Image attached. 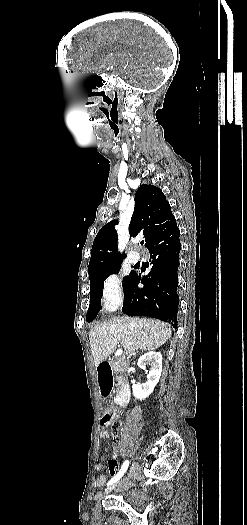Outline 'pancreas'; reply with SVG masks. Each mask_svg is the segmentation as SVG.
Returning <instances> with one entry per match:
<instances>
[{"mask_svg": "<svg viewBox=\"0 0 247 525\" xmlns=\"http://www.w3.org/2000/svg\"><path fill=\"white\" fill-rule=\"evenodd\" d=\"M109 363L115 373L117 375L116 379L118 381L117 385H120L121 383V373H124V369H121V365L117 363V361H114V359H109Z\"/></svg>", "mask_w": 247, "mask_h": 525, "instance_id": "1", "label": "pancreas"}]
</instances>
